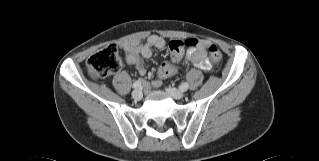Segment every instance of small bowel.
<instances>
[{
    "instance_id": "c3829d8e",
    "label": "small bowel",
    "mask_w": 319,
    "mask_h": 161,
    "mask_svg": "<svg viewBox=\"0 0 319 161\" xmlns=\"http://www.w3.org/2000/svg\"><path fill=\"white\" fill-rule=\"evenodd\" d=\"M209 41L201 40L198 46L189 50L185 55L186 63H191L193 66L209 70L211 62L206 55V49L209 47ZM166 46V41L159 35H151L147 41L143 43L126 42L120 45L126 53L125 62L130 66H134L140 75H147L148 71L144 65L143 58H150L152 56V48L163 49ZM177 68L173 65H164L159 70V78L153 81V85L157 86L161 82V78L170 76L176 73Z\"/></svg>"
}]
</instances>
